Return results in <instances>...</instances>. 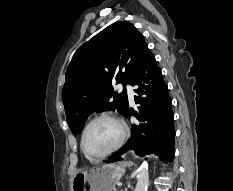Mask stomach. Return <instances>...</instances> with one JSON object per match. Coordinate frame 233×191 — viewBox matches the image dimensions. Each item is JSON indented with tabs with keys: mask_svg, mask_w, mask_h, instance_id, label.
<instances>
[{
	"mask_svg": "<svg viewBox=\"0 0 233 191\" xmlns=\"http://www.w3.org/2000/svg\"><path fill=\"white\" fill-rule=\"evenodd\" d=\"M125 172L117 164H106L75 174L71 191H112Z\"/></svg>",
	"mask_w": 233,
	"mask_h": 191,
	"instance_id": "stomach-1",
	"label": "stomach"
}]
</instances>
